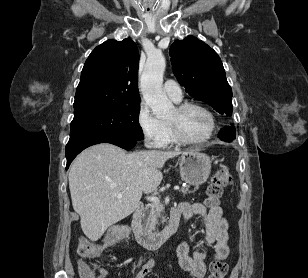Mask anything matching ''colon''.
Here are the masks:
<instances>
[{
	"label": "colon",
	"instance_id": "1",
	"mask_svg": "<svg viewBox=\"0 0 308 278\" xmlns=\"http://www.w3.org/2000/svg\"><path fill=\"white\" fill-rule=\"evenodd\" d=\"M232 183V177L227 169H220L215 172L212 177V181L207 190V204L210 207L217 206L219 198L221 197L223 190L230 186ZM130 236L129 226H112V228L105 235V243L102 244L106 247H113L115 239L117 242H124L125 237ZM102 250V246L99 243L93 242L86 237H79L78 239V254L85 259L97 258ZM227 264L215 256V259L209 266L208 278H224L227 273ZM82 278H96L94 272L86 265L81 267Z\"/></svg>",
	"mask_w": 308,
	"mask_h": 278
}]
</instances>
